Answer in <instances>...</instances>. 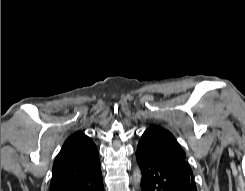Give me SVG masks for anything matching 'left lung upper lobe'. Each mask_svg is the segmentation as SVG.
<instances>
[{
  "label": "left lung upper lobe",
  "mask_w": 245,
  "mask_h": 191,
  "mask_svg": "<svg viewBox=\"0 0 245 191\" xmlns=\"http://www.w3.org/2000/svg\"><path fill=\"white\" fill-rule=\"evenodd\" d=\"M137 152L194 181L193 171L187 162L186 153L168 130L155 125L150 126L143 133Z\"/></svg>",
  "instance_id": "obj_1"
}]
</instances>
